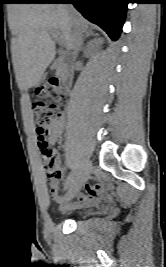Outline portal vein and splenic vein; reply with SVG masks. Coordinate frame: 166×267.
Returning <instances> with one entry per match:
<instances>
[{"instance_id": "18ae733b", "label": "portal vein and splenic vein", "mask_w": 166, "mask_h": 267, "mask_svg": "<svg viewBox=\"0 0 166 267\" xmlns=\"http://www.w3.org/2000/svg\"><path fill=\"white\" fill-rule=\"evenodd\" d=\"M50 33H51L52 37L57 39L60 44L63 43L62 37L60 36V34L57 31L52 30Z\"/></svg>"}]
</instances>
